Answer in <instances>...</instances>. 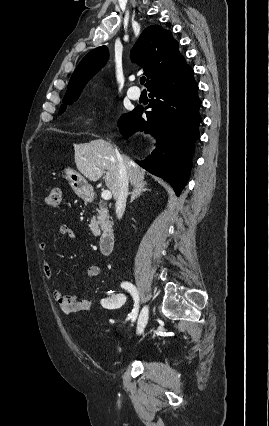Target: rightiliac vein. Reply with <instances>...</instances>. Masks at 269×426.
Wrapping results in <instances>:
<instances>
[{
	"mask_svg": "<svg viewBox=\"0 0 269 426\" xmlns=\"http://www.w3.org/2000/svg\"><path fill=\"white\" fill-rule=\"evenodd\" d=\"M148 313H149L148 307L144 306L140 315H139V318H138L137 334L143 333L144 328H145L147 321H148Z\"/></svg>",
	"mask_w": 269,
	"mask_h": 426,
	"instance_id": "right-iliac-vein-1",
	"label": "right iliac vein"
}]
</instances>
